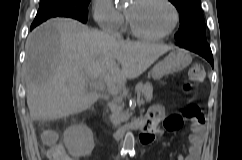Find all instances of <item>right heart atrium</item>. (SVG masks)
Returning a JSON list of instances; mask_svg holds the SVG:
<instances>
[{"label": "right heart atrium", "mask_w": 242, "mask_h": 160, "mask_svg": "<svg viewBox=\"0 0 242 160\" xmlns=\"http://www.w3.org/2000/svg\"><path fill=\"white\" fill-rule=\"evenodd\" d=\"M93 18L105 32L116 35L124 26V16L111 0H93Z\"/></svg>", "instance_id": "d8ad5b80"}]
</instances>
